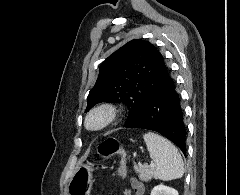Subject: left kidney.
Wrapping results in <instances>:
<instances>
[{
    "mask_svg": "<svg viewBox=\"0 0 240 195\" xmlns=\"http://www.w3.org/2000/svg\"><path fill=\"white\" fill-rule=\"evenodd\" d=\"M150 195H179V193L177 189H174V187H169V185L159 183V185H154Z\"/></svg>",
    "mask_w": 240,
    "mask_h": 195,
    "instance_id": "left-kidney-1",
    "label": "left kidney"
}]
</instances>
